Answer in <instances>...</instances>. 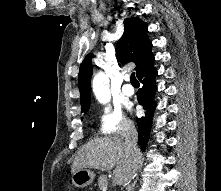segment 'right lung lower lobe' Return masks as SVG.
Returning <instances> with one entry per match:
<instances>
[{
	"label": "right lung lower lobe",
	"mask_w": 221,
	"mask_h": 191,
	"mask_svg": "<svg viewBox=\"0 0 221 191\" xmlns=\"http://www.w3.org/2000/svg\"><path fill=\"white\" fill-rule=\"evenodd\" d=\"M157 71L154 68V62L142 70L138 75L139 81L142 83V88L137 92L138 102L146 110L145 116L138 118V139L141 149L145 151L147 142L151 132V124L153 119V110L156 107L154 95L157 90L155 77Z\"/></svg>",
	"instance_id": "98d812e1"
}]
</instances>
